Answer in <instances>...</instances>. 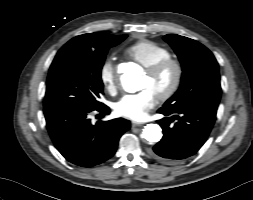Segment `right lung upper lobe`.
<instances>
[{
  "mask_svg": "<svg viewBox=\"0 0 253 200\" xmlns=\"http://www.w3.org/2000/svg\"><path fill=\"white\" fill-rule=\"evenodd\" d=\"M113 35L107 33H88L73 38L74 40H82L91 43H98L103 40L109 39Z\"/></svg>",
  "mask_w": 253,
  "mask_h": 200,
  "instance_id": "1",
  "label": "right lung upper lobe"
}]
</instances>
